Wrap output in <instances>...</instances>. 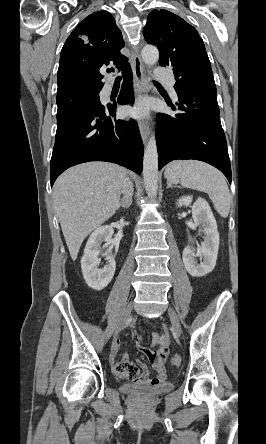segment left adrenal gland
<instances>
[{
  "label": "left adrenal gland",
  "instance_id": "obj_1",
  "mask_svg": "<svg viewBox=\"0 0 266 444\" xmlns=\"http://www.w3.org/2000/svg\"><path fill=\"white\" fill-rule=\"evenodd\" d=\"M174 187H177V186H174V185H172L169 181H167V189H168V188H174Z\"/></svg>",
  "mask_w": 266,
  "mask_h": 444
}]
</instances>
